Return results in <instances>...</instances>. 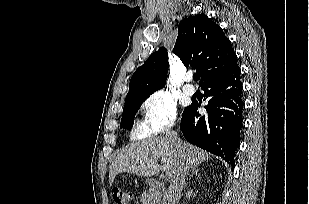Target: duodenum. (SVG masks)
I'll return each mask as SVG.
<instances>
[{
    "instance_id": "obj_1",
    "label": "duodenum",
    "mask_w": 309,
    "mask_h": 204,
    "mask_svg": "<svg viewBox=\"0 0 309 204\" xmlns=\"http://www.w3.org/2000/svg\"><path fill=\"white\" fill-rule=\"evenodd\" d=\"M148 185L150 187V198L152 204H162L167 196L164 186L157 179H149Z\"/></svg>"
}]
</instances>
